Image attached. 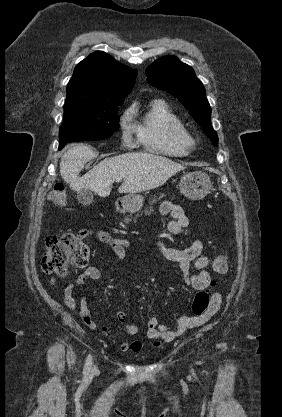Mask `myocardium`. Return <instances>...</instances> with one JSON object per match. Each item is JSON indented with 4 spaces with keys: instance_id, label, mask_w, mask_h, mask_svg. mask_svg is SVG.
<instances>
[{
    "instance_id": "f54148a6",
    "label": "myocardium",
    "mask_w": 282,
    "mask_h": 417,
    "mask_svg": "<svg viewBox=\"0 0 282 417\" xmlns=\"http://www.w3.org/2000/svg\"><path fill=\"white\" fill-rule=\"evenodd\" d=\"M178 143L182 150H188L192 144L190 135L182 129L178 131Z\"/></svg>"
}]
</instances>
